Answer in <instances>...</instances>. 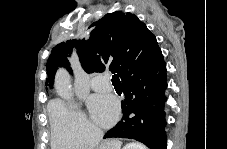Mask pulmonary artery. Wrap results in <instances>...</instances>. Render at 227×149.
<instances>
[{"label":"pulmonary artery","instance_id":"pulmonary-artery-1","mask_svg":"<svg viewBox=\"0 0 227 149\" xmlns=\"http://www.w3.org/2000/svg\"><path fill=\"white\" fill-rule=\"evenodd\" d=\"M90 85L94 90L104 91L110 89V79L106 75H97L92 78Z\"/></svg>","mask_w":227,"mask_h":149}]
</instances>
